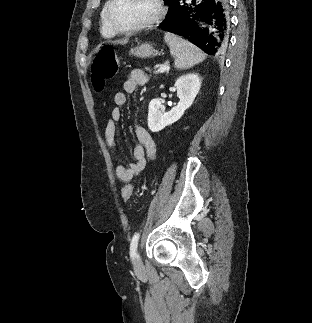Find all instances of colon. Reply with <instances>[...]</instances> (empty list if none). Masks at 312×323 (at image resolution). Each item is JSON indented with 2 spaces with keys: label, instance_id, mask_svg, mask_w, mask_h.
<instances>
[{
  "label": "colon",
  "instance_id": "5ec220e1",
  "mask_svg": "<svg viewBox=\"0 0 312 323\" xmlns=\"http://www.w3.org/2000/svg\"><path fill=\"white\" fill-rule=\"evenodd\" d=\"M120 60L116 57L114 48L111 46H103L94 57L91 69L92 81L95 83L97 90H102L105 80L111 79L117 75L119 71ZM132 184H125L122 189V199L129 202L133 194Z\"/></svg>",
  "mask_w": 312,
  "mask_h": 323
}]
</instances>
